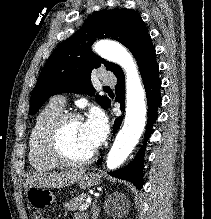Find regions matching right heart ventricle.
Wrapping results in <instances>:
<instances>
[{"label":"right heart ventricle","mask_w":211,"mask_h":219,"mask_svg":"<svg viewBox=\"0 0 211 219\" xmlns=\"http://www.w3.org/2000/svg\"><path fill=\"white\" fill-rule=\"evenodd\" d=\"M62 112L63 106L51 101L38 113L34 120L28 138V159L30 165L39 172L50 171L60 166L45 152L42 137L47 125Z\"/></svg>","instance_id":"right-heart-ventricle-1"}]
</instances>
